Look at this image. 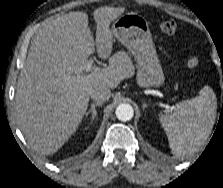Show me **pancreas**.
I'll return each instance as SVG.
<instances>
[{
  "label": "pancreas",
  "mask_w": 223,
  "mask_h": 188,
  "mask_svg": "<svg viewBox=\"0 0 223 188\" xmlns=\"http://www.w3.org/2000/svg\"><path fill=\"white\" fill-rule=\"evenodd\" d=\"M115 58L117 60L124 59L125 61L130 62V58L125 52H119L118 54L115 55Z\"/></svg>",
  "instance_id": "1"
}]
</instances>
